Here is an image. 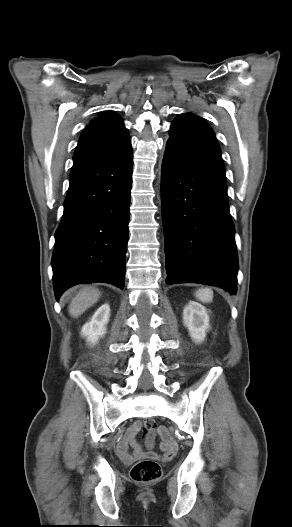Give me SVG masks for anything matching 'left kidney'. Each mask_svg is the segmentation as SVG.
I'll use <instances>...</instances> for the list:
<instances>
[{
    "instance_id": "obj_1",
    "label": "left kidney",
    "mask_w": 292,
    "mask_h": 527,
    "mask_svg": "<svg viewBox=\"0 0 292 527\" xmlns=\"http://www.w3.org/2000/svg\"><path fill=\"white\" fill-rule=\"evenodd\" d=\"M183 323L196 343L204 341L209 328V315L205 307L189 302L183 310Z\"/></svg>"
}]
</instances>
